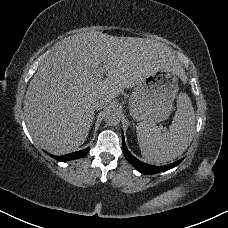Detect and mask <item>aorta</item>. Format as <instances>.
Listing matches in <instances>:
<instances>
[{
    "mask_svg": "<svg viewBox=\"0 0 228 228\" xmlns=\"http://www.w3.org/2000/svg\"><path fill=\"white\" fill-rule=\"evenodd\" d=\"M105 122L109 126H116L120 123L119 113L115 110H110L105 116Z\"/></svg>",
    "mask_w": 228,
    "mask_h": 228,
    "instance_id": "aorta-1",
    "label": "aorta"
}]
</instances>
